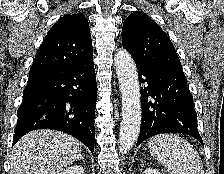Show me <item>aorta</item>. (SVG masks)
Segmentation results:
<instances>
[{
	"label": "aorta",
	"mask_w": 224,
	"mask_h": 174,
	"mask_svg": "<svg viewBox=\"0 0 224 174\" xmlns=\"http://www.w3.org/2000/svg\"><path fill=\"white\" fill-rule=\"evenodd\" d=\"M114 62L122 93L119 150L126 152L134 145L140 133L142 115L140 87L136 65L128 51L118 50Z\"/></svg>",
	"instance_id": "1"
}]
</instances>
